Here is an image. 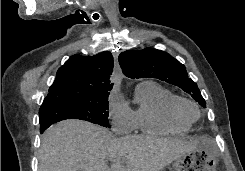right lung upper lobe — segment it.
Instances as JSON below:
<instances>
[{"label": "right lung upper lobe", "mask_w": 245, "mask_h": 171, "mask_svg": "<svg viewBox=\"0 0 245 171\" xmlns=\"http://www.w3.org/2000/svg\"><path fill=\"white\" fill-rule=\"evenodd\" d=\"M113 56L102 52L94 56H71L56 74L44 102L61 99H92L109 94Z\"/></svg>", "instance_id": "1"}]
</instances>
